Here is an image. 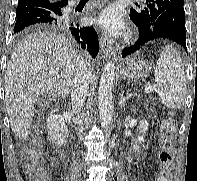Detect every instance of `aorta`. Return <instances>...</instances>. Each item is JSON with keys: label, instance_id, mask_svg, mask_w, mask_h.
Instances as JSON below:
<instances>
[{"label": "aorta", "instance_id": "aorta-1", "mask_svg": "<svg viewBox=\"0 0 197 181\" xmlns=\"http://www.w3.org/2000/svg\"><path fill=\"white\" fill-rule=\"evenodd\" d=\"M114 63L108 62L102 72L98 89V109L101 126L107 129L113 113Z\"/></svg>", "mask_w": 197, "mask_h": 181}]
</instances>
